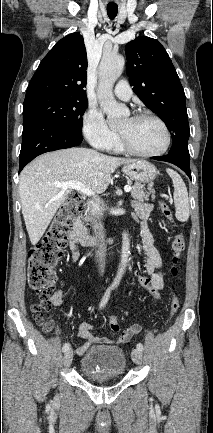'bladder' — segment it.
Here are the masks:
<instances>
[{"label": "bladder", "instance_id": "bladder-1", "mask_svg": "<svg viewBox=\"0 0 213 433\" xmlns=\"http://www.w3.org/2000/svg\"><path fill=\"white\" fill-rule=\"evenodd\" d=\"M126 370V356L122 348L98 345L87 350L80 360V371L91 379L120 377Z\"/></svg>", "mask_w": 213, "mask_h": 433}]
</instances>
